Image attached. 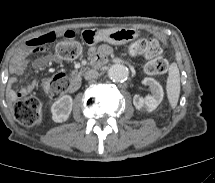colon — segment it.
Instances as JSON below:
<instances>
[{
	"label": "colon",
	"mask_w": 215,
	"mask_h": 183,
	"mask_svg": "<svg viewBox=\"0 0 215 183\" xmlns=\"http://www.w3.org/2000/svg\"><path fill=\"white\" fill-rule=\"evenodd\" d=\"M44 42H38L34 51L44 48ZM56 54L61 59L71 60L77 58L82 51L81 45L75 40L73 32H67L63 40L56 46ZM132 56L144 55L149 61L145 65V71L150 75L163 74L167 71L169 60L162 56L160 42L154 38H140L129 46ZM69 86V80L64 74H56L46 78L43 82L45 92L52 98H58L65 93ZM14 116L16 120L27 127L38 125L43 117V106L41 101L33 96L24 97L14 105Z\"/></svg>",
	"instance_id": "obj_1"
}]
</instances>
